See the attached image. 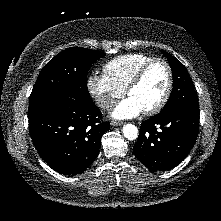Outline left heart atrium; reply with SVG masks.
I'll return each instance as SVG.
<instances>
[{
    "label": "left heart atrium",
    "instance_id": "39dd6f15",
    "mask_svg": "<svg viewBox=\"0 0 221 221\" xmlns=\"http://www.w3.org/2000/svg\"><path fill=\"white\" fill-rule=\"evenodd\" d=\"M141 111L139 105L128 97L115 107L112 116L117 119H127L137 116Z\"/></svg>",
    "mask_w": 221,
    "mask_h": 221
}]
</instances>
